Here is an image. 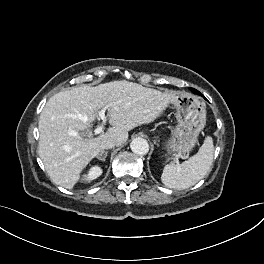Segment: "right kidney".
<instances>
[{
	"label": "right kidney",
	"mask_w": 264,
	"mask_h": 264,
	"mask_svg": "<svg viewBox=\"0 0 264 264\" xmlns=\"http://www.w3.org/2000/svg\"><path fill=\"white\" fill-rule=\"evenodd\" d=\"M102 169L99 166H93L90 168L87 174L83 176L85 182H90L96 178H98L102 174Z\"/></svg>",
	"instance_id": "ca27d5eb"
}]
</instances>
